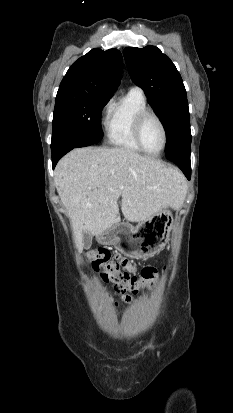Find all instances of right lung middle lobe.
<instances>
[{
  "label": "right lung middle lobe",
  "mask_w": 233,
  "mask_h": 413,
  "mask_svg": "<svg viewBox=\"0 0 233 413\" xmlns=\"http://www.w3.org/2000/svg\"><path fill=\"white\" fill-rule=\"evenodd\" d=\"M111 97L80 91H58L51 148L62 144H95L103 137L100 116Z\"/></svg>",
  "instance_id": "obj_1"
}]
</instances>
